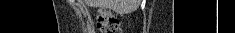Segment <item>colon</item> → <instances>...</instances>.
Instances as JSON below:
<instances>
[{
	"label": "colon",
	"instance_id": "colon-1",
	"mask_svg": "<svg viewBox=\"0 0 235 33\" xmlns=\"http://www.w3.org/2000/svg\"><path fill=\"white\" fill-rule=\"evenodd\" d=\"M97 27L101 33H121L119 20L109 11L100 13Z\"/></svg>",
	"mask_w": 235,
	"mask_h": 33
}]
</instances>
